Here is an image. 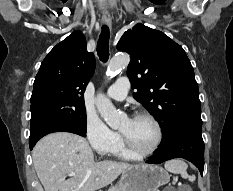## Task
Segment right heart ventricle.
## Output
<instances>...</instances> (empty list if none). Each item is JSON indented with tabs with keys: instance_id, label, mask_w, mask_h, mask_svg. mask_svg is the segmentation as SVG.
Listing matches in <instances>:
<instances>
[{
	"instance_id": "right-heart-ventricle-1",
	"label": "right heart ventricle",
	"mask_w": 233,
	"mask_h": 191,
	"mask_svg": "<svg viewBox=\"0 0 233 191\" xmlns=\"http://www.w3.org/2000/svg\"><path fill=\"white\" fill-rule=\"evenodd\" d=\"M113 155L125 159V160H135L138 159L139 157L136 156L135 154L131 153L124 145L122 141L118 144L116 149L112 152Z\"/></svg>"
}]
</instances>
